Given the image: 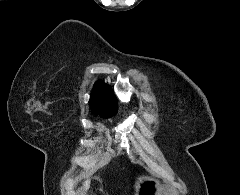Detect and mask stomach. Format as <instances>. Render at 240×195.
Here are the masks:
<instances>
[{
    "label": "stomach",
    "mask_w": 240,
    "mask_h": 195,
    "mask_svg": "<svg viewBox=\"0 0 240 195\" xmlns=\"http://www.w3.org/2000/svg\"><path fill=\"white\" fill-rule=\"evenodd\" d=\"M162 187L156 177L145 175V177H137L135 183V195H154L156 189Z\"/></svg>",
    "instance_id": "0dacf381"
}]
</instances>
